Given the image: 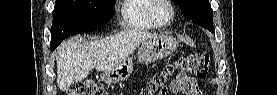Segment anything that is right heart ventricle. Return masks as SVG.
Here are the masks:
<instances>
[{
  "label": "right heart ventricle",
  "mask_w": 277,
  "mask_h": 95,
  "mask_svg": "<svg viewBox=\"0 0 277 95\" xmlns=\"http://www.w3.org/2000/svg\"><path fill=\"white\" fill-rule=\"evenodd\" d=\"M154 0H124L121 10V26L125 29H154L148 17V9Z\"/></svg>",
  "instance_id": "1"
}]
</instances>
